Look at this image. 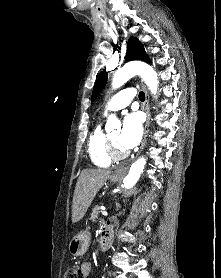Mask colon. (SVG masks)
Here are the masks:
<instances>
[{"label": "colon", "mask_w": 221, "mask_h": 278, "mask_svg": "<svg viewBox=\"0 0 221 278\" xmlns=\"http://www.w3.org/2000/svg\"><path fill=\"white\" fill-rule=\"evenodd\" d=\"M65 278H83V274L79 268L70 267L66 270Z\"/></svg>", "instance_id": "colon-1"}]
</instances>
